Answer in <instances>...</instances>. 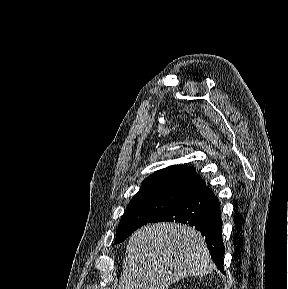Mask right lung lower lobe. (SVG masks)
Listing matches in <instances>:
<instances>
[{
    "label": "right lung lower lobe",
    "mask_w": 288,
    "mask_h": 289,
    "mask_svg": "<svg viewBox=\"0 0 288 289\" xmlns=\"http://www.w3.org/2000/svg\"><path fill=\"white\" fill-rule=\"evenodd\" d=\"M160 221L181 222L198 229L205 236L214 263L223 271L225 249L220 203L205 181L201 180L190 188L182 199L151 222Z\"/></svg>",
    "instance_id": "98d812e1"
}]
</instances>
